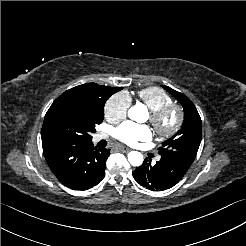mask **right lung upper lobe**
I'll list each match as a JSON object with an SVG mask.
<instances>
[{"instance_id": "obj_1", "label": "right lung upper lobe", "mask_w": 246, "mask_h": 246, "mask_svg": "<svg viewBox=\"0 0 246 246\" xmlns=\"http://www.w3.org/2000/svg\"><path fill=\"white\" fill-rule=\"evenodd\" d=\"M121 89L122 87H108L95 83H87L67 90L54 101L52 106H55L59 102L69 98H77L85 102H93L98 104L104 102L112 94L120 91Z\"/></svg>"}]
</instances>
